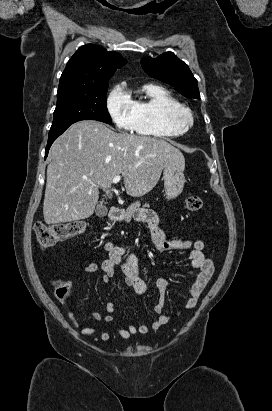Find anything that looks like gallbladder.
Here are the masks:
<instances>
[{"label":"gallbladder","mask_w":272,"mask_h":411,"mask_svg":"<svg viewBox=\"0 0 272 411\" xmlns=\"http://www.w3.org/2000/svg\"><path fill=\"white\" fill-rule=\"evenodd\" d=\"M96 216L98 217H105L107 215V208L104 205V201H100L99 204H97V208L95 210Z\"/></svg>","instance_id":"bac80fb5"}]
</instances>
